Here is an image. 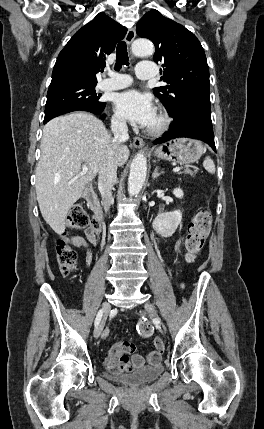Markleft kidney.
Masks as SVG:
<instances>
[{"instance_id":"5707ae66","label":"left kidney","mask_w":264,"mask_h":429,"mask_svg":"<svg viewBox=\"0 0 264 429\" xmlns=\"http://www.w3.org/2000/svg\"><path fill=\"white\" fill-rule=\"evenodd\" d=\"M173 194L177 198H182L184 195L180 188H175ZM181 220L182 213L180 210L159 213L153 220L152 227L159 235L167 238L174 234Z\"/></svg>"}]
</instances>
